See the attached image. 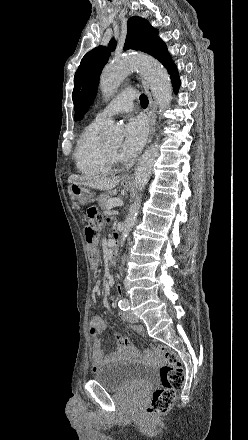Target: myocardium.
Listing matches in <instances>:
<instances>
[{
  "instance_id": "1",
  "label": "myocardium",
  "mask_w": 248,
  "mask_h": 440,
  "mask_svg": "<svg viewBox=\"0 0 248 440\" xmlns=\"http://www.w3.org/2000/svg\"><path fill=\"white\" fill-rule=\"evenodd\" d=\"M106 152H107V159L110 168H120L123 165V161L118 155L117 152L110 149L108 146H106Z\"/></svg>"
}]
</instances>
